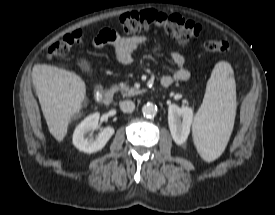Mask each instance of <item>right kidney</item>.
Returning a JSON list of instances; mask_svg holds the SVG:
<instances>
[{
  "instance_id": "1",
  "label": "right kidney",
  "mask_w": 275,
  "mask_h": 215,
  "mask_svg": "<svg viewBox=\"0 0 275 215\" xmlns=\"http://www.w3.org/2000/svg\"><path fill=\"white\" fill-rule=\"evenodd\" d=\"M99 113H93L86 117L75 129L73 134L74 146L82 152L94 153L101 150L115 130L113 127H106L96 138L86 137V134L95 130L98 126Z\"/></svg>"
}]
</instances>
